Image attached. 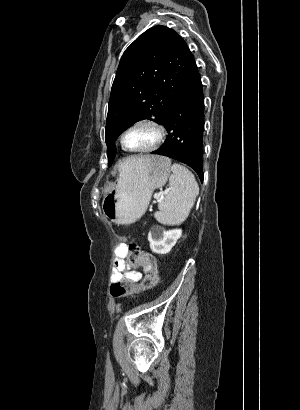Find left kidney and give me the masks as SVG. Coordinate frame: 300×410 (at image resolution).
<instances>
[{
    "label": "left kidney",
    "mask_w": 300,
    "mask_h": 410,
    "mask_svg": "<svg viewBox=\"0 0 300 410\" xmlns=\"http://www.w3.org/2000/svg\"><path fill=\"white\" fill-rule=\"evenodd\" d=\"M181 236V229L165 231L161 228H153L148 234L150 249L156 254H167Z\"/></svg>",
    "instance_id": "5707ae66"
}]
</instances>
